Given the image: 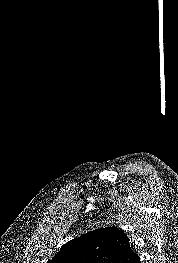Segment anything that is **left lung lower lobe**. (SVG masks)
I'll use <instances>...</instances> for the list:
<instances>
[{
	"instance_id": "left-lung-lower-lobe-1",
	"label": "left lung lower lobe",
	"mask_w": 178,
	"mask_h": 263,
	"mask_svg": "<svg viewBox=\"0 0 178 263\" xmlns=\"http://www.w3.org/2000/svg\"><path fill=\"white\" fill-rule=\"evenodd\" d=\"M109 263H141V261L138 255L133 251L128 239L119 254L111 259Z\"/></svg>"
}]
</instances>
